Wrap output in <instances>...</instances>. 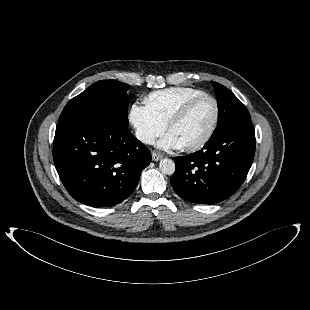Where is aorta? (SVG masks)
I'll return each mask as SVG.
<instances>
[{
  "instance_id": "obj_1",
  "label": "aorta",
  "mask_w": 310,
  "mask_h": 310,
  "mask_svg": "<svg viewBox=\"0 0 310 310\" xmlns=\"http://www.w3.org/2000/svg\"><path fill=\"white\" fill-rule=\"evenodd\" d=\"M159 169L165 175H172L175 171V163L169 158L161 159Z\"/></svg>"
}]
</instances>
